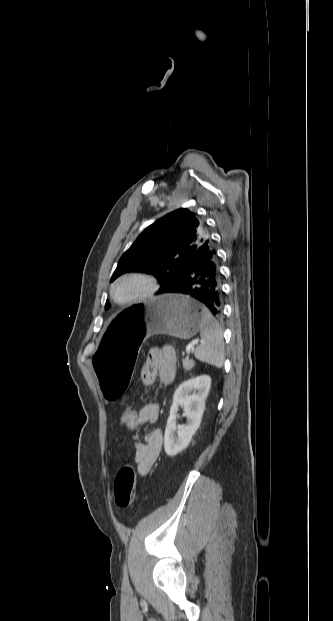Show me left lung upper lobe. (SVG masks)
I'll return each mask as SVG.
<instances>
[{
    "label": "left lung upper lobe",
    "instance_id": "left-lung-upper-lobe-1",
    "mask_svg": "<svg viewBox=\"0 0 333 621\" xmlns=\"http://www.w3.org/2000/svg\"><path fill=\"white\" fill-rule=\"evenodd\" d=\"M207 241L211 239L205 221L186 208L177 209L138 236L120 258L111 282L126 272H143L158 279L160 294L181 275L191 256Z\"/></svg>",
    "mask_w": 333,
    "mask_h": 621
}]
</instances>
